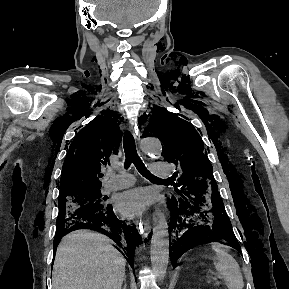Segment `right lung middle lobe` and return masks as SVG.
<instances>
[{"label": "right lung middle lobe", "mask_w": 289, "mask_h": 289, "mask_svg": "<svg viewBox=\"0 0 289 289\" xmlns=\"http://www.w3.org/2000/svg\"><path fill=\"white\" fill-rule=\"evenodd\" d=\"M102 198L100 189L84 190L59 197V214L56 221L57 230L66 228L72 220L84 215L95 214L108 205Z\"/></svg>", "instance_id": "1"}]
</instances>
